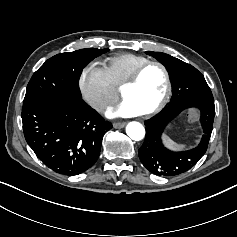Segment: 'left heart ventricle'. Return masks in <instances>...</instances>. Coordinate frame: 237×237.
I'll list each match as a JSON object with an SVG mask.
<instances>
[{
    "label": "left heart ventricle",
    "instance_id": "1",
    "mask_svg": "<svg viewBox=\"0 0 237 237\" xmlns=\"http://www.w3.org/2000/svg\"><path fill=\"white\" fill-rule=\"evenodd\" d=\"M165 93V77L158 66L144 71L139 81L124 93V100L130 102L140 114L155 108Z\"/></svg>",
    "mask_w": 237,
    "mask_h": 237
}]
</instances>
